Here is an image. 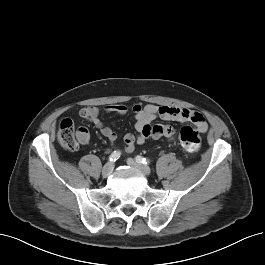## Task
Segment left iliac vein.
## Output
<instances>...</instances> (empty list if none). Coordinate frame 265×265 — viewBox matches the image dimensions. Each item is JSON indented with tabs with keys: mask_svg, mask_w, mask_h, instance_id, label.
Wrapping results in <instances>:
<instances>
[{
	"mask_svg": "<svg viewBox=\"0 0 265 265\" xmlns=\"http://www.w3.org/2000/svg\"><path fill=\"white\" fill-rule=\"evenodd\" d=\"M127 164L130 165L133 168L138 169L141 171L144 175L150 176L151 175V169L148 166L138 164L134 159L128 158Z\"/></svg>",
	"mask_w": 265,
	"mask_h": 265,
	"instance_id": "obj_1",
	"label": "left iliac vein"
}]
</instances>
